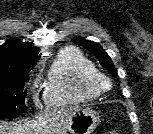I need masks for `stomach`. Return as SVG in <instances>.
Masks as SVG:
<instances>
[{
    "instance_id": "1",
    "label": "stomach",
    "mask_w": 153,
    "mask_h": 134,
    "mask_svg": "<svg viewBox=\"0 0 153 134\" xmlns=\"http://www.w3.org/2000/svg\"><path fill=\"white\" fill-rule=\"evenodd\" d=\"M98 124V114L92 109L77 110L70 121V134H92Z\"/></svg>"
}]
</instances>
